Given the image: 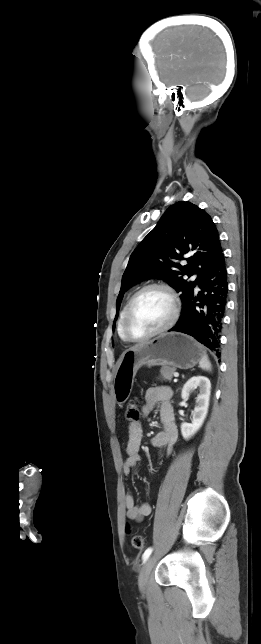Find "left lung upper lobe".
<instances>
[{"label":"left lung upper lobe","instance_id":"left-lung-upper-lobe-1","mask_svg":"<svg viewBox=\"0 0 261 644\" xmlns=\"http://www.w3.org/2000/svg\"><path fill=\"white\" fill-rule=\"evenodd\" d=\"M222 252L219 233L204 210L184 201L170 206L130 256L122 277L117 310L128 288L144 279L161 277L181 292L183 311L209 265ZM183 259L188 261L185 266L179 263ZM194 274L198 277L193 282L181 276Z\"/></svg>","mask_w":261,"mask_h":644}]
</instances>
